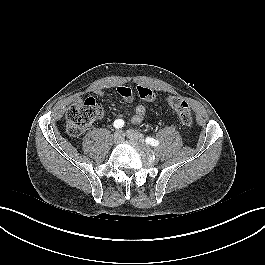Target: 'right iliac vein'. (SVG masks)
<instances>
[{
  "label": "right iliac vein",
  "mask_w": 265,
  "mask_h": 265,
  "mask_svg": "<svg viewBox=\"0 0 265 265\" xmlns=\"http://www.w3.org/2000/svg\"><path fill=\"white\" fill-rule=\"evenodd\" d=\"M124 140V133L121 130H117L113 135V142L120 144Z\"/></svg>",
  "instance_id": "obj_1"
}]
</instances>
